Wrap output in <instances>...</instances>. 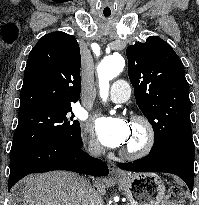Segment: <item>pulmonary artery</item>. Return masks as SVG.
Masks as SVG:
<instances>
[{
  "label": "pulmonary artery",
  "instance_id": "1",
  "mask_svg": "<svg viewBox=\"0 0 199 205\" xmlns=\"http://www.w3.org/2000/svg\"><path fill=\"white\" fill-rule=\"evenodd\" d=\"M130 95V84L123 79H118L112 84L109 99L114 103H122L127 101L130 98Z\"/></svg>",
  "mask_w": 199,
  "mask_h": 205
}]
</instances>
